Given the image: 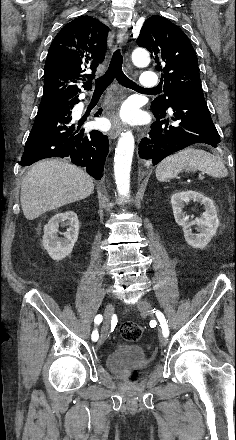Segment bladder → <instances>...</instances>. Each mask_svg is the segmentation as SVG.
Instances as JSON below:
<instances>
[{"mask_svg": "<svg viewBox=\"0 0 236 440\" xmlns=\"http://www.w3.org/2000/svg\"><path fill=\"white\" fill-rule=\"evenodd\" d=\"M148 359L144 349L131 343H123L114 347L106 358L107 368L113 373H120L129 366L147 365Z\"/></svg>", "mask_w": 236, "mask_h": 440, "instance_id": "bladder-1", "label": "bladder"}]
</instances>
